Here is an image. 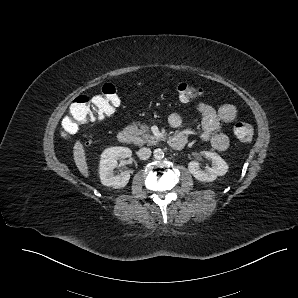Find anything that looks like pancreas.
<instances>
[{"label":"pancreas","mask_w":298,"mask_h":298,"mask_svg":"<svg viewBox=\"0 0 298 298\" xmlns=\"http://www.w3.org/2000/svg\"><path fill=\"white\" fill-rule=\"evenodd\" d=\"M133 134L135 135V144L142 145L143 143H148L149 145H156L160 140L157 136H154L149 133V127L147 125H140L139 127L135 126H127Z\"/></svg>","instance_id":"cf45deb5"}]
</instances>
